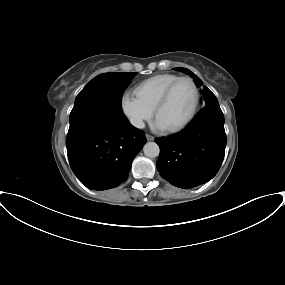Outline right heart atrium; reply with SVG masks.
I'll return each instance as SVG.
<instances>
[{"mask_svg": "<svg viewBox=\"0 0 285 285\" xmlns=\"http://www.w3.org/2000/svg\"><path fill=\"white\" fill-rule=\"evenodd\" d=\"M123 115L135 128H143L146 121L153 116L154 110L144 104L136 95L124 92L120 98Z\"/></svg>", "mask_w": 285, "mask_h": 285, "instance_id": "obj_1", "label": "right heart atrium"}]
</instances>
